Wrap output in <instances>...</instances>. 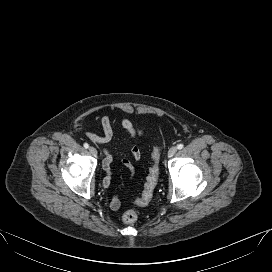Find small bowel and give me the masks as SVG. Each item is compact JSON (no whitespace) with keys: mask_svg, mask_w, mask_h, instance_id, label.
<instances>
[{"mask_svg":"<svg viewBox=\"0 0 272 272\" xmlns=\"http://www.w3.org/2000/svg\"><path fill=\"white\" fill-rule=\"evenodd\" d=\"M103 133L98 135L96 133L85 131L84 135L90 141L97 144H109L114 138V132L111 125V120L109 115L105 114L101 117L100 120ZM121 126L127 132L130 138L141 137L143 135V127H137L129 118H121ZM104 159H103V168L106 170V177L103 180V187L108 188L111 182V171L110 166L113 161V156L110 150L107 148L104 149ZM131 156L134 160H139L141 158V151L138 146H133L131 148ZM122 165L125 167L130 174V177L134 175L135 169L133 163L128 159L122 160ZM110 207L113 210H116L120 207V200L117 196H113L110 200Z\"/></svg>","mask_w":272,"mask_h":272,"instance_id":"obj_1","label":"small bowel"}]
</instances>
